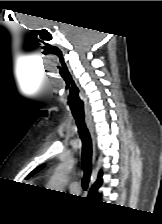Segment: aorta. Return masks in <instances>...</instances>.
Masks as SVG:
<instances>
[{
    "mask_svg": "<svg viewBox=\"0 0 162 224\" xmlns=\"http://www.w3.org/2000/svg\"><path fill=\"white\" fill-rule=\"evenodd\" d=\"M73 164V160H66L59 164L52 177L51 188L55 189L56 191L62 189L64 179L71 172Z\"/></svg>",
    "mask_w": 162,
    "mask_h": 224,
    "instance_id": "1",
    "label": "aorta"
}]
</instances>
